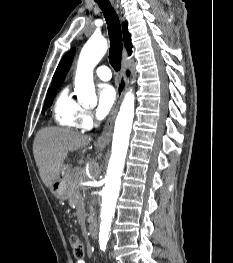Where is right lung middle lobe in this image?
<instances>
[{"label":"right lung middle lobe","instance_id":"1","mask_svg":"<svg viewBox=\"0 0 233 263\" xmlns=\"http://www.w3.org/2000/svg\"><path fill=\"white\" fill-rule=\"evenodd\" d=\"M58 88L59 87L51 88V89L48 90V92H47L48 93V97L46 98V101H45V108H44V110H46L47 106L48 107L51 106V104H52V102H53V100L55 98V95L57 93V89Z\"/></svg>","mask_w":233,"mask_h":263}]
</instances>
